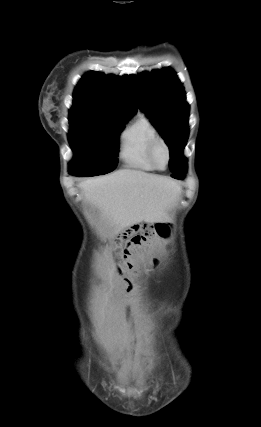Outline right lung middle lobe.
<instances>
[{
    "label": "right lung middle lobe",
    "mask_w": 261,
    "mask_h": 427,
    "mask_svg": "<svg viewBox=\"0 0 261 427\" xmlns=\"http://www.w3.org/2000/svg\"><path fill=\"white\" fill-rule=\"evenodd\" d=\"M69 142L74 158L69 172L77 176H97L117 166L118 137L127 120L94 115H69Z\"/></svg>",
    "instance_id": "obj_1"
}]
</instances>
